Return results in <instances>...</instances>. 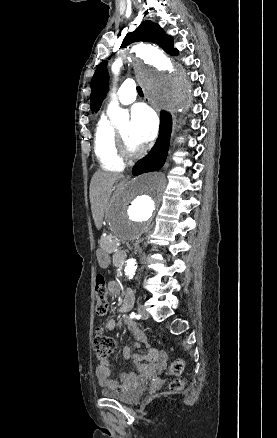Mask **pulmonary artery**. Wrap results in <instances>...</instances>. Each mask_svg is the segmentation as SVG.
Wrapping results in <instances>:
<instances>
[{"mask_svg": "<svg viewBox=\"0 0 277 438\" xmlns=\"http://www.w3.org/2000/svg\"><path fill=\"white\" fill-rule=\"evenodd\" d=\"M121 97L117 98L113 96L106 104L107 111L112 110L118 105H128L131 104L135 100V96L137 93L136 84L132 80V78H127L126 81L121 82Z\"/></svg>", "mask_w": 277, "mask_h": 438, "instance_id": "obj_1", "label": "pulmonary artery"}]
</instances>
